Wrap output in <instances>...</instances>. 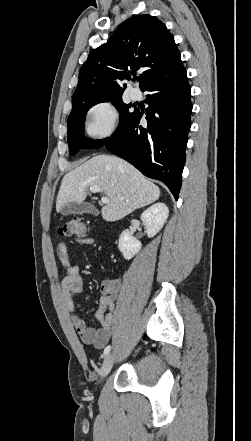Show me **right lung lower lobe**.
<instances>
[{
	"mask_svg": "<svg viewBox=\"0 0 251 441\" xmlns=\"http://www.w3.org/2000/svg\"><path fill=\"white\" fill-rule=\"evenodd\" d=\"M142 91L149 92L147 126L140 125L143 112L135 110L104 146L145 176L164 182L177 200L192 111L184 66L154 79Z\"/></svg>",
	"mask_w": 251,
	"mask_h": 441,
	"instance_id": "1",
	"label": "right lung lower lobe"
}]
</instances>
